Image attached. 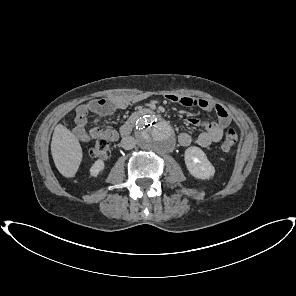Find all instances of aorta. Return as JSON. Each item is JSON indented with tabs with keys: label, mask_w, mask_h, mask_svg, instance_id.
Returning a JSON list of instances; mask_svg holds the SVG:
<instances>
[{
	"label": "aorta",
	"mask_w": 296,
	"mask_h": 296,
	"mask_svg": "<svg viewBox=\"0 0 296 296\" xmlns=\"http://www.w3.org/2000/svg\"><path fill=\"white\" fill-rule=\"evenodd\" d=\"M136 139L142 149L156 154L171 151L175 143L171 125L154 115H146L139 120Z\"/></svg>",
	"instance_id": "762f6f07"
}]
</instances>
